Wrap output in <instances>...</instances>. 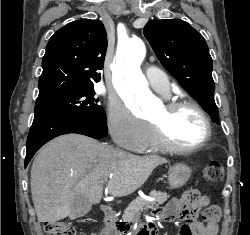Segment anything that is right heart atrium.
<instances>
[{"mask_svg": "<svg viewBox=\"0 0 250 235\" xmlns=\"http://www.w3.org/2000/svg\"><path fill=\"white\" fill-rule=\"evenodd\" d=\"M107 127L112 139L130 151H141L150 136L149 125L117 101L109 104Z\"/></svg>", "mask_w": 250, "mask_h": 235, "instance_id": "obj_1", "label": "right heart atrium"}]
</instances>
